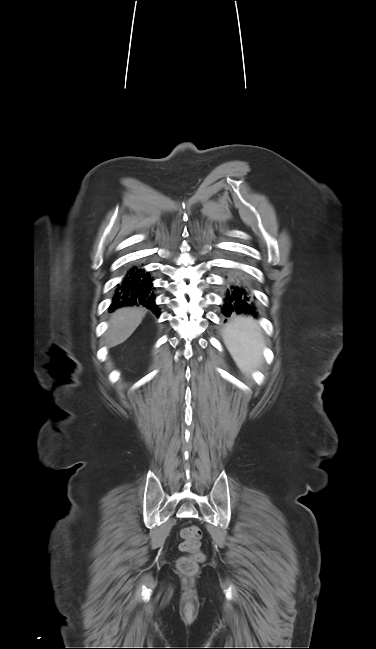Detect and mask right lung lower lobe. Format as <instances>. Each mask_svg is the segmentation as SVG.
Here are the masks:
<instances>
[{
  "label": "right lung lower lobe",
  "instance_id": "98d812e1",
  "mask_svg": "<svg viewBox=\"0 0 376 649\" xmlns=\"http://www.w3.org/2000/svg\"><path fill=\"white\" fill-rule=\"evenodd\" d=\"M151 278L148 272L139 267H133L117 285L110 310L123 306L141 304L152 310L157 317L160 315L155 305Z\"/></svg>",
  "mask_w": 376,
  "mask_h": 649
}]
</instances>
